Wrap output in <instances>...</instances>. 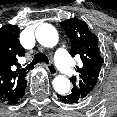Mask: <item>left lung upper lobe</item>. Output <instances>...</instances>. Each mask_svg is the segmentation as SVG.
I'll return each instance as SVG.
<instances>
[{"label":"left lung upper lobe","mask_w":117,"mask_h":117,"mask_svg":"<svg viewBox=\"0 0 117 117\" xmlns=\"http://www.w3.org/2000/svg\"><path fill=\"white\" fill-rule=\"evenodd\" d=\"M60 24L72 43L70 54L72 56L80 55L83 63L81 67L77 66L75 69L79 78L72 77L74 85L72 93L83 101L93 91L103 62L97 36L89 30L84 21L78 20V18L65 20Z\"/></svg>","instance_id":"left-lung-upper-lobe-1"}]
</instances>
